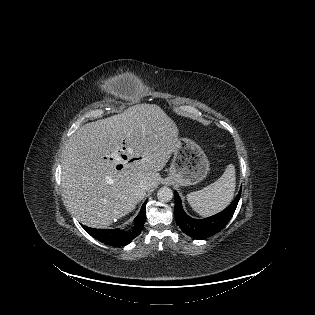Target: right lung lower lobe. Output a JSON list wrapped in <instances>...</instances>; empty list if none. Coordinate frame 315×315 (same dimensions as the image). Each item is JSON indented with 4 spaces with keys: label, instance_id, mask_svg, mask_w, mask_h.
Listing matches in <instances>:
<instances>
[{
    "label": "right lung lower lobe",
    "instance_id": "1",
    "mask_svg": "<svg viewBox=\"0 0 315 315\" xmlns=\"http://www.w3.org/2000/svg\"><path fill=\"white\" fill-rule=\"evenodd\" d=\"M146 220V202L142 205L141 210L135 218V226L129 232H124L120 229L104 230L94 229L82 225V227L97 240L111 246H124L129 244L134 238H136L143 229Z\"/></svg>",
    "mask_w": 315,
    "mask_h": 315
}]
</instances>
